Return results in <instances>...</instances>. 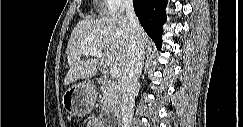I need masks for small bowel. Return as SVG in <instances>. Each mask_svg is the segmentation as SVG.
Wrapping results in <instances>:
<instances>
[{
	"mask_svg": "<svg viewBox=\"0 0 243 127\" xmlns=\"http://www.w3.org/2000/svg\"><path fill=\"white\" fill-rule=\"evenodd\" d=\"M89 127H101L98 120H92L89 122Z\"/></svg>",
	"mask_w": 243,
	"mask_h": 127,
	"instance_id": "1",
	"label": "small bowel"
}]
</instances>
